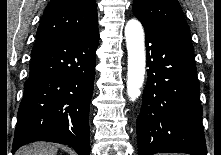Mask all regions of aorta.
<instances>
[{"label": "aorta", "instance_id": "1", "mask_svg": "<svg viewBox=\"0 0 221 155\" xmlns=\"http://www.w3.org/2000/svg\"><path fill=\"white\" fill-rule=\"evenodd\" d=\"M125 38L128 52L127 94L134 101L141 94L146 65L144 31L138 20L127 22Z\"/></svg>", "mask_w": 221, "mask_h": 155}]
</instances>
